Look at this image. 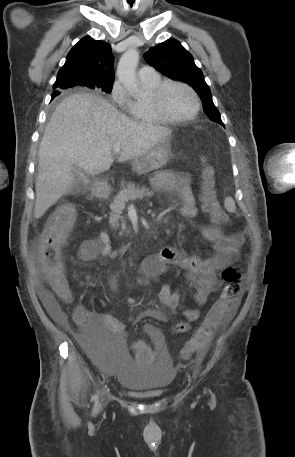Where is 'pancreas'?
Masks as SVG:
<instances>
[{
    "label": "pancreas",
    "instance_id": "1",
    "mask_svg": "<svg viewBox=\"0 0 295 457\" xmlns=\"http://www.w3.org/2000/svg\"><path fill=\"white\" fill-rule=\"evenodd\" d=\"M153 195L152 191H149L145 187L135 186V184H128L124 187L117 196L114 197L112 204L110 205L111 213L109 217V223L112 227L119 226V220L122 221L121 227L122 230L126 228V222L123 217L120 215L121 211L124 210L125 205L128 201H135L137 199H142L144 197H150ZM129 232V230H127ZM122 233V232H121Z\"/></svg>",
    "mask_w": 295,
    "mask_h": 457
}]
</instances>
